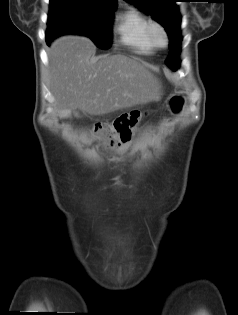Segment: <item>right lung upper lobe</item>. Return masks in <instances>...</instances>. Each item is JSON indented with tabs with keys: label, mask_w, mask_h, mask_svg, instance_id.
Masks as SVG:
<instances>
[{
	"label": "right lung upper lobe",
	"mask_w": 238,
	"mask_h": 315,
	"mask_svg": "<svg viewBox=\"0 0 238 315\" xmlns=\"http://www.w3.org/2000/svg\"><path fill=\"white\" fill-rule=\"evenodd\" d=\"M87 1L95 2L97 4L108 6V7L117 6V0H87Z\"/></svg>",
	"instance_id": "cb5924a9"
}]
</instances>
